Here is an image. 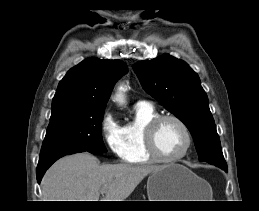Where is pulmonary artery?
Masks as SVG:
<instances>
[{
    "label": "pulmonary artery",
    "mask_w": 259,
    "mask_h": 211,
    "mask_svg": "<svg viewBox=\"0 0 259 211\" xmlns=\"http://www.w3.org/2000/svg\"><path fill=\"white\" fill-rule=\"evenodd\" d=\"M140 103H147V104H149L148 102H146V101H141Z\"/></svg>",
    "instance_id": "e3ab8cb5"
}]
</instances>
